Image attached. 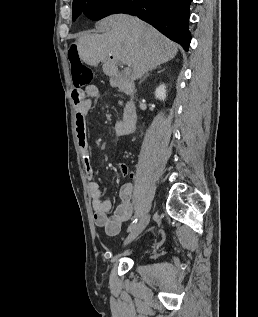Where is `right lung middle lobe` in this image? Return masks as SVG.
I'll return each instance as SVG.
<instances>
[{
  "mask_svg": "<svg viewBox=\"0 0 258 317\" xmlns=\"http://www.w3.org/2000/svg\"><path fill=\"white\" fill-rule=\"evenodd\" d=\"M120 0H73V21L85 10L87 17L99 20L114 14L115 7Z\"/></svg>",
  "mask_w": 258,
  "mask_h": 317,
  "instance_id": "dd1d6c3e",
  "label": "right lung middle lobe"
}]
</instances>
